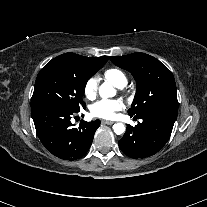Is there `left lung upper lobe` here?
<instances>
[{
  "label": "left lung upper lobe",
  "mask_w": 207,
  "mask_h": 207,
  "mask_svg": "<svg viewBox=\"0 0 207 207\" xmlns=\"http://www.w3.org/2000/svg\"><path fill=\"white\" fill-rule=\"evenodd\" d=\"M111 61L129 71L137 84V91L129 115L140 116L157 108L178 110L175 80L168 68L156 58L133 53L114 56Z\"/></svg>",
  "instance_id": "5c2ea615"
}]
</instances>
